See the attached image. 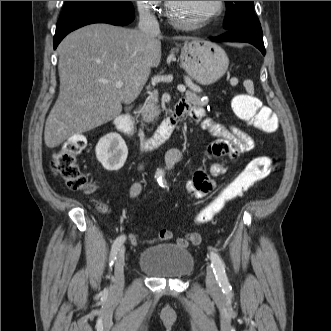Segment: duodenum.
<instances>
[{
  "instance_id": "1",
  "label": "duodenum",
  "mask_w": 331,
  "mask_h": 331,
  "mask_svg": "<svg viewBox=\"0 0 331 331\" xmlns=\"http://www.w3.org/2000/svg\"><path fill=\"white\" fill-rule=\"evenodd\" d=\"M182 116L183 111L176 106L163 120L156 132L149 139L143 141L141 149L143 151H151L163 145L169 139ZM114 124L119 132L128 136L134 135L133 123L127 114L116 116Z\"/></svg>"
}]
</instances>
